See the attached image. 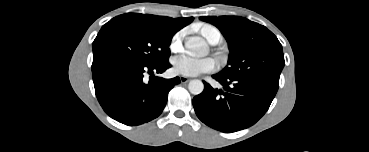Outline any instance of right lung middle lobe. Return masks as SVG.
Returning a JSON list of instances; mask_svg holds the SVG:
<instances>
[{
  "mask_svg": "<svg viewBox=\"0 0 369 152\" xmlns=\"http://www.w3.org/2000/svg\"><path fill=\"white\" fill-rule=\"evenodd\" d=\"M175 33L134 21L126 14L104 24L95 38L92 71L115 62L155 65L168 61Z\"/></svg>",
  "mask_w": 369,
  "mask_h": 152,
  "instance_id": "dd1d6c3e",
  "label": "right lung middle lobe"
}]
</instances>
